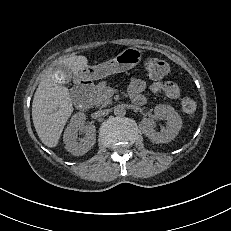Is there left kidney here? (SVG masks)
Returning <instances> with one entry per match:
<instances>
[{
	"instance_id": "1",
	"label": "left kidney",
	"mask_w": 231,
	"mask_h": 231,
	"mask_svg": "<svg viewBox=\"0 0 231 231\" xmlns=\"http://www.w3.org/2000/svg\"><path fill=\"white\" fill-rule=\"evenodd\" d=\"M155 117L167 120V128L156 132L153 128V120L143 118L140 122L142 132L154 143H168L173 140L182 128L180 115L169 105L159 104L154 109Z\"/></svg>"
}]
</instances>
